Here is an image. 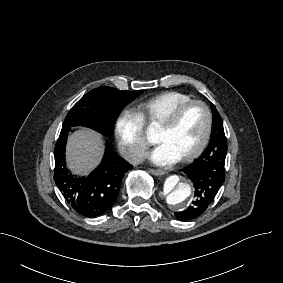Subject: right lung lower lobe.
<instances>
[{
	"label": "right lung lower lobe",
	"instance_id": "right-lung-lower-lobe-1",
	"mask_svg": "<svg viewBox=\"0 0 283 283\" xmlns=\"http://www.w3.org/2000/svg\"><path fill=\"white\" fill-rule=\"evenodd\" d=\"M69 130L62 128L55 146L54 180L67 203L77 213L86 217L102 215L114 204L123 177L132 165L107 146L102 162L90 175H73L65 162Z\"/></svg>",
	"mask_w": 283,
	"mask_h": 283
}]
</instances>
